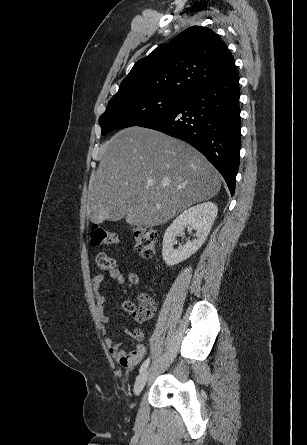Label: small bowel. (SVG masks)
<instances>
[{
  "label": "small bowel",
  "instance_id": "c3829d8e",
  "mask_svg": "<svg viewBox=\"0 0 307 445\" xmlns=\"http://www.w3.org/2000/svg\"><path fill=\"white\" fill-rule=\"evenodd\" d=\"M105 277L106 276L102 273L96 274L92 280V287L97 303L98 316L102 323L107 324L109 323V316L105 307L107 298L100 290ZM107 277L110 280H114L120 284L124 283L125 281V274L117 268L108 271ZM125 334L137 341H140L143 337V334L140 330H125ZM106 344L112 357L117 360L121 366L127 369H131L135 367L139 362H141L146 353V348L142 344L136 345L133 350L128 352L122 348V343L116 342L111 337L106 338Z\"/></svg>",
  "mask_w": 307,
  "mask_h": 445
}]
</instances>
